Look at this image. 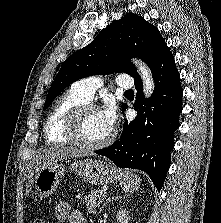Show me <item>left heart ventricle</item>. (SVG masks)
<instances>
[{
  "label": "left heart ventricle",
  "mask_w": 221,
  "mask_h": 223,
  "mask_svg": "<svg viewBox=\"0 0 221 223\" xmlns=\"http://www.w3.org/2000/svg\"><path fill=\"white\" fill-rule=\"evenodd\" d=\"M111 129L105 124L100 111L92 110L82 118L79 136L87 143H98L110 134Z\"/></svg>",
  "instance_id": "1"
}]
</instances>
